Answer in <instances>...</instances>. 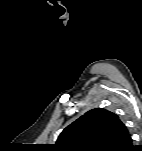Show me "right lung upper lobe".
<instances>
[{
  "label": "right lung upper lobe",
  "mask_w": 142,
  "mask_h": 151,
  "mask_svg": "<svg viewBox=\"0 0 142 151\" xmlns=\"http://www.w3.org/2000/svg\"><path fill=\"white\" fill-rule=\"evenodd\" d=\"M132 139L119 117L95 108L66 127L59 135L57 151H130Z\"/></svg>",
  "instance_id": "1"
}]
</instances>
